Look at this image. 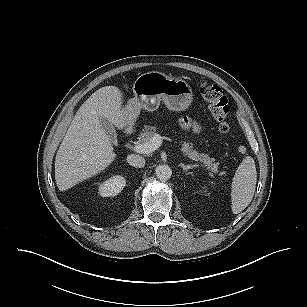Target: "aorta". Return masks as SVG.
Returning <instances> with one entry per match:
<instances>
[{"instance_id": "obj_1", "label": "aorta", "mask_w": 307, "mask_h": 307, "mask_svg": "<svg viewBox=\"0 0 307 307\" xmlns=\"http://www.w3.org/2000/svg\"><path fill=\"white\" fill-rule=\"evenodd\" d=\"M172 170L168 165H160L156 168V176L160 181H166L171 178Z\"/></svg>"}]
</instances>
